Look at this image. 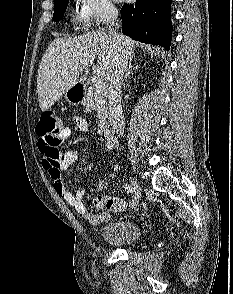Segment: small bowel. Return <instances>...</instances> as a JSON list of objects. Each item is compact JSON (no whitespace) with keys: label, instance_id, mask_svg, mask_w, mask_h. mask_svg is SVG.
<instances>
[{"label":"small bowel","instance_id":"1","mask_svg":"<svg viewBox=\"0 0 233 294\" xmlns=\"http://www.w3.org/2000/svg\"><path fill=\"white\" fill-rule=\"evenodd\" d=\"M74 121V130L78 132H85L88 129L87 121L80 117L75 116ZM73 133V130L70 127H66L62 131V139L69 138ZM42 157V167L47 172L54 190L63 197L65 202L69 204L78 214L82 215L91 223L92 225H98L103 222H106L110 218V214L106 211H100L97 214H91L86 210L83 199L85 196V191L82 189H77L74 192H71L66 189L65 185L61 179V172L69 168L78 160V153L76 149H59V156H47L43 154ZM108 184L105 180H100L97 183V189L103 191L107 188ZM109 199H115L120 201L123 206L125 203L117 198H111L104 195L96 196L93 199V205L99 209L103 210L105 203Z\"/></svg>","mask_w":233,"mask_h":294}]
</instances>
